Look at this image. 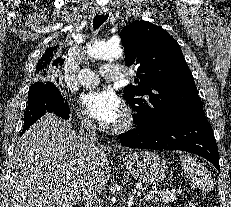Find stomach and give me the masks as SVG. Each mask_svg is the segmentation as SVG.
Wrapping results in <instances>:
<instances>
[{
	"label": "stomach",
	"mask_w": 231,
	"mask_h": 207,
	"mask_svg": "<svg viewBox=\"0 0 231 207\" xmlns=\"http://www.w3.org/2000/svg\"><path fill=\"white\" fill-rule=\"evenodd\" d=\"M123 161L133 178L143 184H156L168 173L166 161L155 152L140 150L127 154Z\"/></svg>",
	"instance_id": "0dacf381"
}]
</instances>
